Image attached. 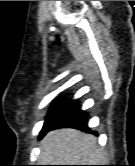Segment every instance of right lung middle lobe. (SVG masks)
<instances>
[{"label":"right lung middle lobe","instance_id":"obj_1","mask_svg":"<svg viewBox=\"0 0 135 166\" xmlns=\"http://www.w3.org/2000/svg\"><path fill=\"white\" fill-rule=\"evenodd\" d=\"M68 107L69 105H61L60 103H56L46 117L43 128L55 122L68 109Z\"/></svg>","mask_w":135,"mask_h":166}]
</instances>
